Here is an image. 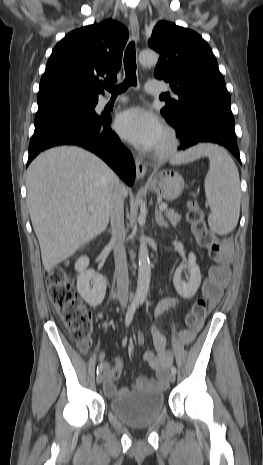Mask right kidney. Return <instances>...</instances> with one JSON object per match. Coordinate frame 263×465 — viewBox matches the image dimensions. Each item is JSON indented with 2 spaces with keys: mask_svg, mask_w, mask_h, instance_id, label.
Returning a JSON list of instances; mask_svg holds the SVG:
<instances>
[{
  "mask_svg": "<svg viewBox=\"0 0 263 465\" xmlns=\"http://www.w3.org/2000/svg\"><path fill=\"white\" fill-rule=\"evenodd\" d=\"M89 258L81 256L75 263L77 290L91 307L100 305L106 294V280L92 269H88Z\"/></svg>",
  "mask_w": 263,
  "mask_h": 465,
  "instance_id": "obj_1",
  "label": "right kidney"
}]
</instances>
